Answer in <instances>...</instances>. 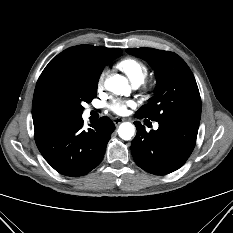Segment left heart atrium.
I'll use <instances>...</instances> for the list:
<instances>
[{
	"label": "left heart atrium",
	"instance_id": "39dd6f15",
	"mask_svg": "<svg viewBox=\"0 0 233 233\" xmlns=\"http://www.w3.org/2000/svg\"><path fill=\"white\" fill-rule=\"evenodd\" d=\"M134 106V102L121 99H114L108 105V108L117 115H125L130 107Z\"/></svg>",
	"mask_w": 233,
	"mask_h": 233
}]
</instances>
